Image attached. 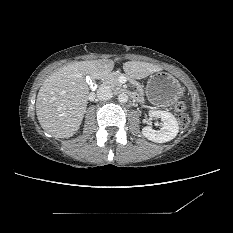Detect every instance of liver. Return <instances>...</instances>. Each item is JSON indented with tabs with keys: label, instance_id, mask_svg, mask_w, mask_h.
<instances>
[{
	"label": "liver",
	"instance_id": "liver-1",
	"mask_svg": "<svg viewBox=\"0 0 233 233\" xmlns=\"http://www.w3.org/2000/svg\"><path fill=\"white\" fill-rule=\"evenodd\" d=\"M114 62L91 60L61 67L45 79L37 95L36 114L41 127L57 138L73 136L82 123L87 107L89 87L85 76L100 79L110 73ZM124 72L131 78L143 79L162 67L147 62L128 61Z\"/></svg>",
	"mask_w": 233,
	"mask_h": 233
}]
</instances>
